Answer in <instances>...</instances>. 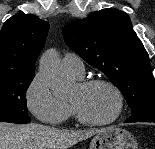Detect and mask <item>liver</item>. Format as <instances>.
Masks as SVG:
<instances>
[{"label": "liver", "instance_id": "liver-1", "mask_svg": "<svg viewBox=\"0 0 155 149\" xmlns=\"http://www.w3.org/2000/svg\"><path fill=\"white\" fill-rule=\"evenodd\" d=\"M105 130L106 128L69 131L36 123L15 125L0 122V149H69Z\"/></svg>", "mask_w": 155, "mask_h": 149}]
</instances>
